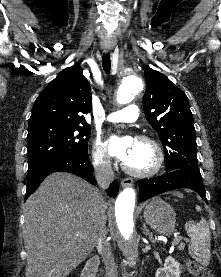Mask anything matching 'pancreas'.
Listing matches in <instances>:
<instances>
[{
    "instance_id": "1",
    "label": "pancreas",
    "mask_w": 221,
    "mask_h": 277,
    "mask_svg": "<svg viewBox=\"0 0 221 277\" xmlns=\"http://www.w3.org/2000/svg\"><path fill=\"white\" fill-rule=\"evenodd\" d=\"M179 248H180V249H184V245H180Z\"/></svg>"
}]
</instances>
